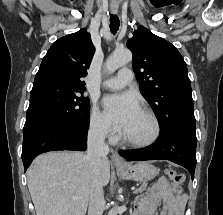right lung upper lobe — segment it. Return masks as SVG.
<instances>
[{
    "label": "right lung upper lobe",
    "mask_w": 223,
    "mask_h": 215,
    "mask_svg": "<svg viewBox=\"0 0 223 215\" xmlns=\"http://www.w3.org/2000/svg\"><path fill=\"white\" fill-rule=\"evenodd\" d=\"M95 47L85 30L61 37L44 56L37 72L31 93L65 91L82 93Z\"/></svg>",
    "instance_id": "1"
}]
</instances>
